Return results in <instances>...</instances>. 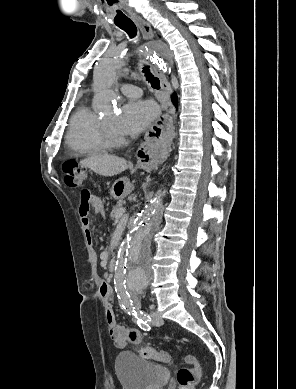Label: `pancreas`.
I'll return each mask as SVG.
<instances>
[{
    "label": "pancreas",
    "instance_id": "1",
    "mask_svg": "<svg viewBox=\"0 0 296 389\" xmlns=\"http://www.w3.org/2000/svg\"><path fill=\"white\" fill-rule=\"evenodd\" d=\"M123 205H124V201L123 200H119L117 202V204L113 207L112 209V212H111V218H115L116 216V213L119 209L123 208Z\"/></svg>",
    "mask_w": 296,
    "mask_h": 389
}]
</instances>
